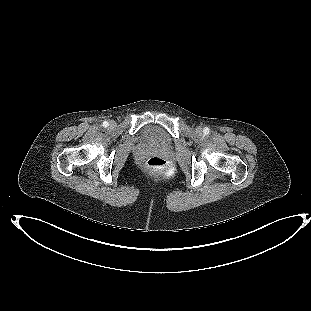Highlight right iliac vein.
<instances>
[{
    "instance_id": "obj_1",
    "label": "right iliac vein",
    "mask_w": 311,
    "mask_h": 311,
    "mask_svg": "<svg viewBox=\"0 0 311 311\" xmlns=\"http://www.w3.org/2000/svg\"><path fill=\"white\" fill-rule=\"evenodd\" d=\"M110 128H114L116 126V123L114 121L109 122Z\"/></svg>"
}]
</instances>
